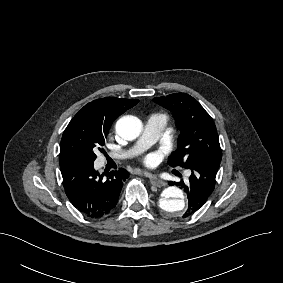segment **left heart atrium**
<instances>
[{
  "instance_id": "left-heart-atrium-1",
  "label": "left heart atrium",
  "mask_w": 283,
  "mask_h": 283,
  "mask_svg": "<svg viewBox=\"0 0 283 283\" xmlns=\"http://www.w3.org/2000/svg\"><path fill=\"white\" fill-rule=\"evenodd\" d=\"M157 163V156L155 154H148L144 157V164L148 167H154Z\"/></svg>"
}]
</instances>
